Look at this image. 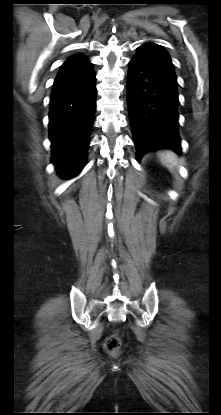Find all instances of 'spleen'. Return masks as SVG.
Segmentation results:
<instances>
[{"label": "spleen", "mask_w": 221, "mask_h": 415, "mask_svg": "<svg viewBox=\"0 0 221 415\" xmlns=\"http://www.w3.org/2000/svg\"><path fill=\"white\" fill-rule=\"evenodd\" d=\"M159 159L161 163L171 172H175L178 166V158L175 153L170 150L160 151Z\"/></svg>", "instance_id": "obj_1"}]
</instances>
